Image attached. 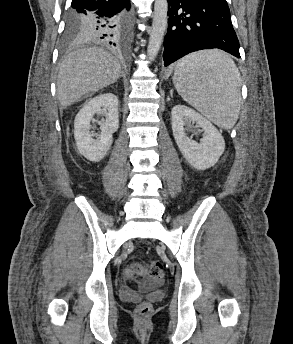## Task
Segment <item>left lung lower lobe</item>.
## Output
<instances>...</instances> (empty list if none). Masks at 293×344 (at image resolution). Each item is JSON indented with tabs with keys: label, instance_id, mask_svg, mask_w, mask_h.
Masks as SVG:
<instances>
[{
	"label": "left lung lower lobe",
	"instance_id": "0a47b994",
	"mask_svg": "<svg viewBox=\"0 0 293 344\" xmlns=\"http://www.w3.org/2000/svg\"><path fill=\"white\" fill-rule=\"evenodd\" d=\"M164 65L198 50L218 48L237 58L239 41L226 0H168Z\"/></svg>",
	"mask_w": 293,
	"mask_h": 344
}]
</instances>
